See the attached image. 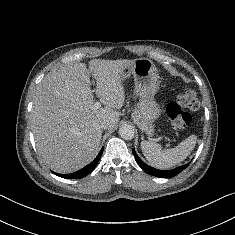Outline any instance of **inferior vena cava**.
<instances>
[{
	"mask_svg": "<svg viewBox=\"0 0 235 235\" xmlns=\"http://www.w3.org/2000/svg\"><path fill=\"white\" fill-rule=\"evenodd\" d=\"M100 127L102 129H107L108 128V124L106 122H103V123H101Z\"/></svg>",
	"mask_w": 235,
	"mask_h": 235,
	"instance_id": "obj_1",
	"label": "inferior vena cava"
}]
</instances>
